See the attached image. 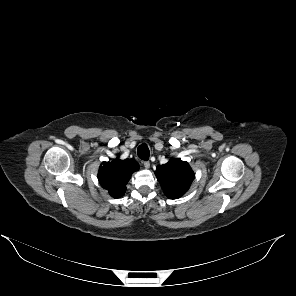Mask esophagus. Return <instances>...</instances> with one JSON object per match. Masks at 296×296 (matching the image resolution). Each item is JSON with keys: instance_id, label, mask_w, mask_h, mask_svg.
<instances>
[{"instance_id": "esophagus-1", "label": "esophagus", "mask_w": 296, "mask_h": 296, "mask_svg": "<svg viewBox=\"0 0 296 296\" xmlns=\"http://www.w3.org/2000/svg\"><path fill=\"white\" fill-rule=\"evenodd\" d=\"M144 167L146 168V169H148L149 167H150V162L149 161H144Z\"/></svg>"}]
</instances>
